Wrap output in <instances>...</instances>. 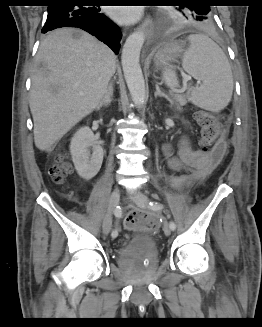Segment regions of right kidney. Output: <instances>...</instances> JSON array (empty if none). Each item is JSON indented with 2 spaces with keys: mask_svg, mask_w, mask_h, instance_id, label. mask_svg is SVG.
I'll list each match as a JSON object with an SVG mask.
<instances>
[{
  "mask_svg": "<svg viewBox=\"0 0 262 327\" xmlns=\"http://www.w3.org/2000/svg\"><path fill=\"white\" fill-rule=\"evenodd\" d=\"M92 147V154L89 148ZM70 152L75 169L80 177L92 179L100 170L103 149L88 126L80 128L72 137Z\"/></svg>",
  "mask_w": 262,
  "mask_h": 327,
  "instance_id": "right-kidney-1",
  "label": "right kidney"
}]
</instances>
